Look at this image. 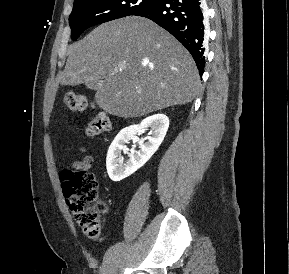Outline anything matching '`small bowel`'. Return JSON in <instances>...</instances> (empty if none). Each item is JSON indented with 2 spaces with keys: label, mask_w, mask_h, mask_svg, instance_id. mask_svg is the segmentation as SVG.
Segmentation results:
<instances>
[{
  "label": "small bowel",
  "mask_w": 289,
  "mask_h": 274,
  "mask_svg": "<svg viewBox=\"0 0 289 274\" xmlns=\"http://www.w3.org/2000/svg\"><path fill=\"white\" fill-rule=\"evenodd\" d=\"M80 152H85L84 147L79 148ZM95 162V158L91 155H86L81 160H75L71 163V167L77 171H87L91 168L93 163Z\"/></svg>",
  "instance_id": "obj_1"
}]
</instances>
